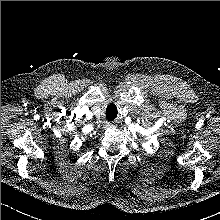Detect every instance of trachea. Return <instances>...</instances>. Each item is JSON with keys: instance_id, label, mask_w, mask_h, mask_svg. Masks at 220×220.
Segmentation results:
<instances>
[{"instance_id": "trachea-1", "label": "trachea", "mask_w": 220, "mask_h": 220, "mask_svg": "<svg viewBox=\"0 0 220 220\" xmlns=\"http://www.w3.org/2000/svg\"><path fill=\"white\" fill-rule=\"evenodd\" d=\"M117 113H106L108 119L113 120L115 119Z\"/></svg>"}]
</instances>
